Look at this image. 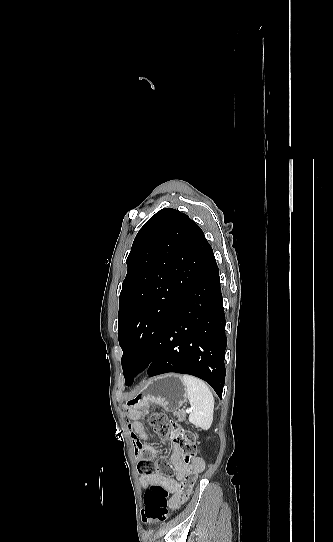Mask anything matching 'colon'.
<instances>
[{"instance_id": "obj_1", "label": "colon", "mask_w": 333, "mask_h": 542, "mask_svg": "<svg viewBox=\"0 0 333 542\" xmlns=\"http://www.w3.org/2000/svg\"><path fill=\"white\" fill-rule=\"evenodd\" d=\"M149 426L151 430L160 438L174 439L187 454L186 461L197 453V443L195 436L185 426H181L180 422H175L163 412L155 411L149 416ZM165 433V434H164ZM158 465L163 472L171 471L168 462L159 458L153 460L146 458L139 462L138 471L141 475L154 474ZM192 479L188 478L179 488L177 494L184 496L191 491ZM172 495L162 485H152L144 494V506L141 511L142 519L145 522L157 523L163 522L169 518V504Z\"/></svg>"}]
</instances>
